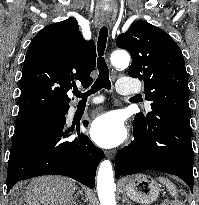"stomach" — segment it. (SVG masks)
Listing matches in <instances>:
<instances>
[{"label":"stomach","instance_id":"0dacf381","mask_svg":"<svg viewBox=\"0 0 199 205\" xmlns=\"http://www.w3.org/2000/svg\"><path fill=\"white\" fill-rule=\"evenodd\" d=\"M124 190L133 200L141 204H151L157 200L160 185L150 176L136 174L124 180Z\"/></svg>","mask_w":199,"mask_h":205}]
</instances>
